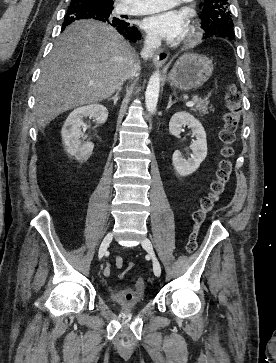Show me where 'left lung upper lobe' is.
<instances>
[{
  "label": "left lung upper lobe",
  "mask_w": 276,
  "mask_h": 363,
  "mask_svg": "<svg viewBox=\"0 0 276 363\" xmlns=\"http://www.w3.org/2000/svg\"><path fill=\"white\" fill-rule=\"evenodd\" d=\"M228 0H204L201 11V24L205 31L204 38H234V25Z\"/></svg>",
  "instance_id": "obj_1"
}]
</instances>
